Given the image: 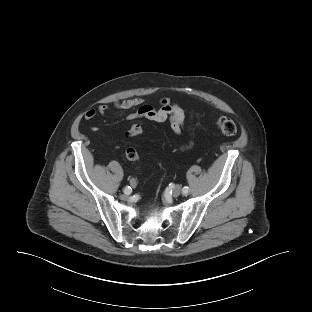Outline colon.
<instances>
[{
    "instance_id": "colon-1",
    "label": "colon",
    "mask_w": 312,
    "mask_h": 312,
    "mask_svg": "<svg viewBox=\"0 0 312 312\" xmlns=\"http://www.w3.org/2000/svg\"><path fill=\"white\" fill-rule=\"evenodd\" d=\"M215 124L217 128L220 130V132L226 136H233L237 131L235 122L229 117L225 116L219 117L215 120ZM142 131H143L142 124L136 122L130 126L128 134L130 136H137L140 135ZM125 156L130 161H137L139 158L137 150L132 147L126 149Z\"/></svg>"
}]
</instances>
